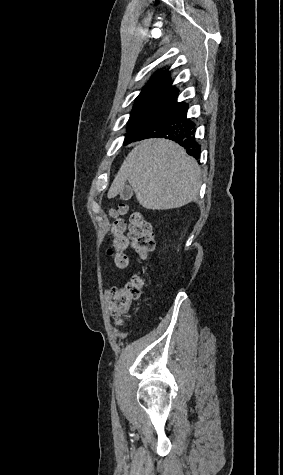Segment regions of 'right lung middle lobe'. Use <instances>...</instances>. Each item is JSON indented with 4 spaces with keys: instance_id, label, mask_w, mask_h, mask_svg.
Wrapping results in <instances>:
<instances>
[{
    "instance_id": "obj_1",
    "label": "right lung middle lobe",
    "mask_w": 283,
    "mask_h": 475,
    "mask_svg": "<svg viewBox=\"0 0 283 475\" xmlns=\"http://www.w3.org/2000/svg\"><path fill=\"white\" fill-rule=\"evenodd\" d=\"M176 92L175 89H162L138 96L128 121L126 137Z\"/></svg>"
}]
</instances>
